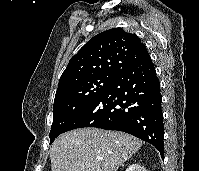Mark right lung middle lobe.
Segmentation results:
<instances>
[{
	"mask_svg": "<svg viewBox=\"0 0 199 171\" xmlns=\"http://www.w3.org/2000/svg\"><path fill=\"white\" fill-rule=\"evenodd\" d=\"M115 76H97L86 80L54 100L50 144L63 133L77 112L95 98Z\"/></svg>",
	"mask_w": 199,
	"mask_h": 171,
	"instance_id": "1",
	"label": "right lung middle lobe"
}]
</instances>
